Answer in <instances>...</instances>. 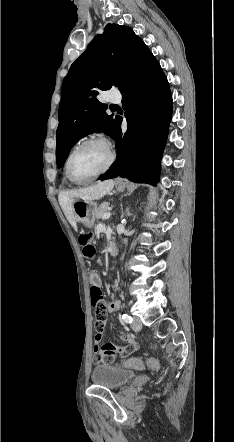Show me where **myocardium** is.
Here are the masks:
<instances>
[{"label":"myocardium","mask_w":234,"mask_h":442,"mask_svg":"<svg viewBox=\"0 0 234 442\" xmlns=\"http://www.w3.org/2000/svg\"><path fill=\"white\" fill-rule=\"evenodd\" d=\"M90 144H102V145H104L107 148V150H108V155H109L108 161H107L106 165L100 171L95 173L94 175H92V176H90L88 178H85V179H78L71 172V167H70L71 159H72L73 155L79 149H81L82 147H85L87 145H90ZM115 159H116V154H115L111 144L109 143V141L107 139H105L103 137H92V138H89V139H86V140L82 141L81 143L76 145L71 150V152L69 153L68 158L66 160L65 169H66L67 176L69 177V179L73 183L84 184V183H88V182L98 178L99 176L103 175L104 173H106L112 167V165L114 164Z\"/></svg>","instance_id":"obj_1"}]
</instances>
